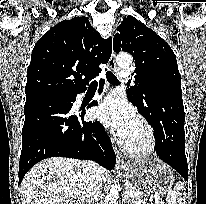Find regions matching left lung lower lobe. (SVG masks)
<instances>
[{"label":"left lung lower lobe","instance_id":"1","mask_svg":"<svg viewBox=\"0 0 206 204\" xmlns=\"http://www.w3.org/2000/svg\"><path fill=\"white\" fill-rule=\"evenodd\" d=\"M184 121V109H181L173 118H166L163 130L155 134V150L159 159L174 168L185 179H188Z\"/></svg>","mask_w":206,"mask_h":204}]
</instances>
